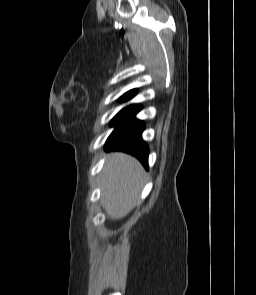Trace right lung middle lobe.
<instances>
[{
    "instance_id": "obj_1",
    "label": "right lung middle lobe",
    "mask_w": 256,
    "mask_h": 295,
    "mask_svg": "<svg viewBox=\"0 0 256 295\" xmlns=\"http://www.w3.org/2000/svg\"><path fill=\"white\" fill-rule=\"evenodd\" d=\"M123 110H121L112 120V122L120 115V113L122 112Z\"/></svg>"
}]
</instances>
